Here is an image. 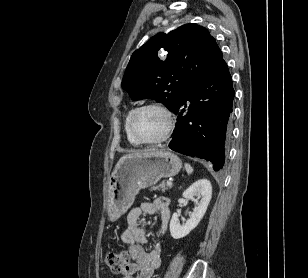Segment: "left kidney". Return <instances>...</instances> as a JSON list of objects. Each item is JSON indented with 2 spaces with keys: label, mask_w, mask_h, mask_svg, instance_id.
Here are the masks:
<instances>
[{
  "label": "left kidney",
  "mask_w": 308,
  "mask_h": 278,
  "mask_svg": "<svg viewBox=\"0 0 308 278\" xmlns=\"http://www.w3.org/2000/svg\"><path fill=\"white\" fill-rule=\"evenodd\" d=\"M212 196V186L207 179H200L193 183L183 193V197L189 200H194V197L200 198L196 203L190 218L185 224L181 225L178 219V214L174 213L170 221V233L174 239H180L188 235L201 221L206 213L207 207Z\"/></svg>",
  "instance_id": "obj_1"
}]
</instances>
